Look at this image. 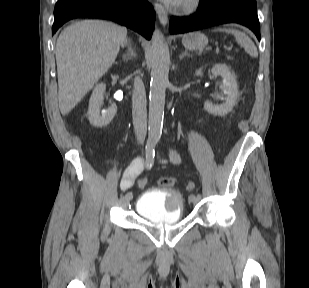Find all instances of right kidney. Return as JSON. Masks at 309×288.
Listing matches in <instances>:
<instances>
[{
  "label": "right kidney",
  "mask_w": 309,
  "mask_h": 288,
  "mask_svg": "<svg viewBox=\"0 0 309 288\" xmlns=\"http://www.w3.org/2000/svg\"><path fill=\"white\" fill-rule=\"evenodd\" d=\"M105 90L106 86L104 83L96 85L89 101V108H88L89 122L91 125L99 128L107 126L117 113L116 104H111V106L107 110L101 111Z\"/></svg>",
  "instance_id": "right-kidney-1"
}]
</instances>
